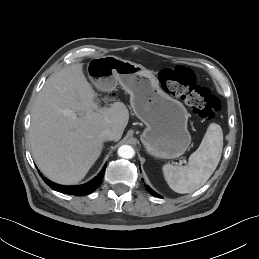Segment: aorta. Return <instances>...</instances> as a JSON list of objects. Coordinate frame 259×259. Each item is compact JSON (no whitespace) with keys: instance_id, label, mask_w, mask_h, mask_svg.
Listing matches in <instances>:
<instances>
[{"instance_id":"1","label":"aorta","mask_w":259,"mask_h":259,"mask_svg":"<svg viewBox=\"0 0 259 259\" xmlns=\"http://www.w3.org/2000/svg\"><path fill=\"white\" fill-rule=\"evenodd\" d=\"M134 154V149L129 145H122L118 148V155L122 158L131 159Z\"/></svg>"}]
</instances>
